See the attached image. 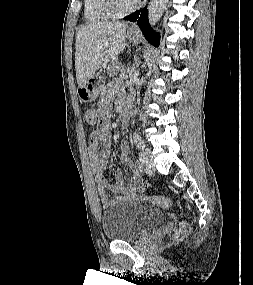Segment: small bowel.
<instances>
[{"mask_svg":"<svg viewBox=\"0 0 253 285\" xmlns=\"http://www.w3.org/2000/svg\"><path fill=\"white\" fill-rule=\"evenodd\" d=\"M115 96H120L125 100L128 98L127 89L123 85L116 83L106 85L101 91V98L96 110L98 127L89 137L88 153L103 208H109L119 202L136 200L138 191L142 190L139 172L133 164H129L133 171V176L127 182H125L120 169L115 173V184H110L103 174L111 155L109 119L112 114V104ZM101 142L103 146L101 150H98V145ZM127 155L128 146L123 143L121 145V161L123 164H128ZM109 190L115 195L110 196L108 194Z\"/></svg>","mask_w":253,"mask_h":285,"instance_id":"small-bowel-1","label":"small bowel"}]
</instances>
